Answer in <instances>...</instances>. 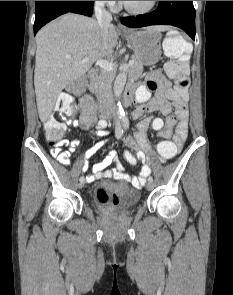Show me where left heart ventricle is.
Returning <instances> with one entry per match:
<instances>
[{"mask_svg":"<svg viewBox=\"0 0 233 295\" xmlns=\"http://www.w3.org/2000/svg\"><path fill=\"white\" fill-rule=\"evenodd\" d=\"M125 3L133 9L140 10L148 7L151 1H125Z\"/></svg>","mask_w":233,"mask_h":295,"instance_id":"b2bd125f","label":"left heart ventricle"}]
</instances>
